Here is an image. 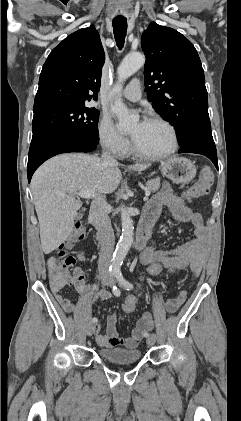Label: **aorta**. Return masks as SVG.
Listing matches in <instances>:
<instances>
[{"label": "aorta", "instance_id": "762f6f07", "mask_svg": "<svg viewBox=\"0 0 241 421\" xmlns=\"http://www.w3.org/2000/svg\"><path fill=\"white\" fill-rule=\"evenodd\" d=\"M145 63V57L141 53L128 54L123 61L120 63L117 74L118 82L114 88V91L120 92L122 83L138 71ZM112 112L118 117V128L128 129L131 125L138 121V116L131 114L125 104L122 102L120 97L115 98L111 105ZM121 211V223H122V235L116 246L115 252L113 253L112 265L119 267L124 258L126 257L131 245L133 243V220L128 213L126 207L122 205Z\"/></svg>", "mask_w": 241, "mask_h": 421}]
</instances>
